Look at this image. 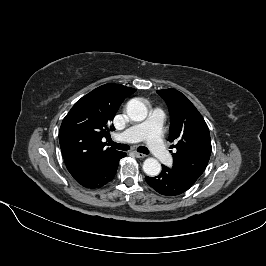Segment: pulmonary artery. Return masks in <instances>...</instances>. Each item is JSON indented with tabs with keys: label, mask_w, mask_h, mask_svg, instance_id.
I'll use <instances>...</instances> for the list:
<instances>
[{
	"label": "pulmonary artery",
	"mask_w": 266,
	"mask_h": 266,
	"mask_svg": "<svg viewBox=\"0 0 266 266\" xmlns=\"http://www.w3.org/2000/svg\"><path fill=\"white\" fill-rule=\"evenodd\" d=\"M164 116V112L160 108H155L144 122L133 125L124 132L117 134L115 139L127 143L145 140L148 148L156 158L163 163H170L172 158L166 150L160 135Z\"/></svg>",
	"instance_id": "1"
}]
</instances>
